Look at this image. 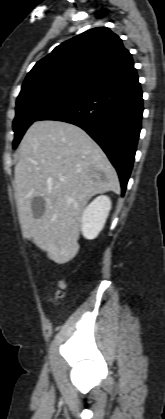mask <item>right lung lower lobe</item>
Returning a JSON list of instances; mask_svg holds the SVG:
<instances>
[{
    "instance_id": "right-lung-lower-lobe-1",
    "label": "right lung lower lobe",
    "mask_w": 165,
    "mask_h": 419,
    "mask_svg": "<svg viewBox=\"0 0 165 419\" xmlns=\"http://www.w3.org/2000/svg\"><path fill=\"white\" fill-rule=\"evenodd\" d=\"M143 99L136 69L55 108L39 120H58L84 129L116 168L124 195L141 130Z\"/></svg>"
}]
</instances>
